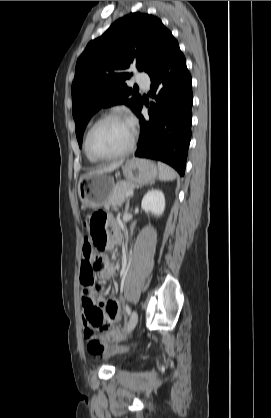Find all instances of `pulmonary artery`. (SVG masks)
<instances>
[{"label": "pulmonary artery", "mask_w": 271, "mask_h": 418, "mask_svg": "<svg viewBox=\"0 0 271 418\" xmlns=\"http://www.w3.org/2000/svg\"><path fill=\"white\" fill-rule=\"evenodd\" d=\"M137 83L142 86L144 89H148L150 84V78L147 75L141 74L136 78Z\"/></svg>", "instance_id": "pulmonary-artery-1"}]
</instances>
